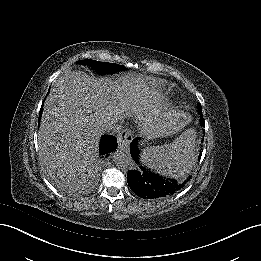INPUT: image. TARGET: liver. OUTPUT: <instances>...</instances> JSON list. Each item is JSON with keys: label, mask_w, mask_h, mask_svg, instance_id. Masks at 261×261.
Wrapping results in <instances>:
<instances>
[{"label": "liver", "mask_w": 261, "mask_h": 261, "mask_svg": "<svg viewBox=\"0 0 261 261\" xmlns=\"http://www.w3.org/2000/svg\"><path fill=\"white\" fill-rule=\"evenodd\" d=\"M137 97L124 84L82 71L55 82L44 103L38 136L40 164L55 184L67 185L76 173L89 171L107 122L121 120L130 110L143 119ZM152 129L145 126L148 132Z\"/></svg>", "instance_id": "6515ba94"}]
</instances>
